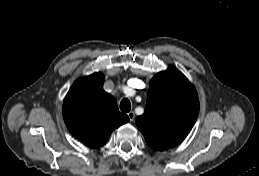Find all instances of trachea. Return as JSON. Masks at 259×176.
Segmentation results:
<instances>
[{
    "instance_id": "trachea-1",
    "label": "trachea",
    "mask_w": 259,
    "mask_h": 176,
    "mask_svg": "<svg viewBox=\"0 0 259 176\" xmlns=\"http://www.w3.org/2000/svg\"><path fill=\"white\" fill-rule=\"evenodd\" d=\"M120 109L123 112H129L131 109V103L127 98H124L120 103Z\"/></svg>"
}]
</instances>
